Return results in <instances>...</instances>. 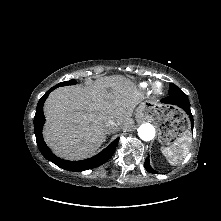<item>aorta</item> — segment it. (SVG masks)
I'll use <instances>...</instances> for the list:
<instances>
[{
    "mask_svg": "<svg viewBox=\"0 0 221 221\" xmlns=\"http://www.w3.org/2000/svg\"><path fill=\"white\" fill-rule=\"evenodd\" d=\"M138 135L143 141H150L155 137V128L150 123L140 125Z\"/></svg>",
    "mask_w": 221,
    "mask_h": 221,
    "instance_id": "1",
    "label": "aorta"
}]
</instances>
